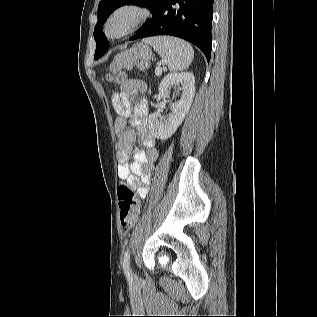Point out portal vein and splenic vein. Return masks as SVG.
Here are the masks:
<instances>
[{
	"instance_id": "1",
	"label": "portal vein and splenic vein",
	"mask_w": 317,
	"mask_h": 317,
	"mask_svg": "<svg viewBox=\"0 0 317 317\" xmlns=\"http://www.w3.org/2000/svg\"><path fill=\"white\" fill-rule=\"evenodd\" d=\"M161 73H162L161 67H160V65H158V67L155 70V74L159 76V75H161Z\"/></svg>"
}]
</instances>
